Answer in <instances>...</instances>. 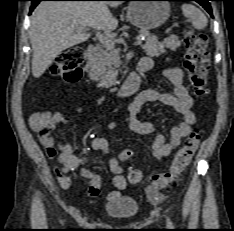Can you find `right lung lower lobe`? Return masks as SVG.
<instances>
[{
	"label": "right lung lower lobe",
	"mask_w": 234,
	"mask_h": 231,
	"mask_svg": "<svg viewBox=\"0 0 234 231\" xmlns=\"http://www.w3.org/2000/svg\"><path fill=\"white\" fill-rule=\"evenodd\" d=\"M32 2L31 8H30V14L32 13L33 9L37 6V4L40 1H91V0H30ZM113 1V0H109Z\"/></svg>",
	"instance_id": "right-lung-lower-lobe-1"
}]
</instances>
